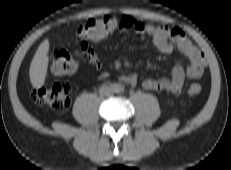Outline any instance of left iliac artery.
<instances>
[{
    "label": "left iliac artery",
    "instance_id": "obj_1",
    "mask_svg": "<svg viewBox=\"0 0 231 170\" xmlns=\"http://www.w3.org/2000/svg\"><path fill=\"white\" fill-rule=\"evenodd\" d=\"M118 92H123L124 91V87L123 86H119L117 89Z\"/></svg>",
    "mask_w": 231,
    "mask_h": 170
}]
</instances>
